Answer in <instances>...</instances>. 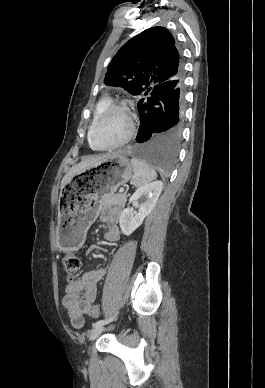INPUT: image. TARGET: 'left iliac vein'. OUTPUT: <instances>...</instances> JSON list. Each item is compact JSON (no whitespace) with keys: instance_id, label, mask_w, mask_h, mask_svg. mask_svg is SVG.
Returning <instances> with one entry per match:
<instances>
[{"instance_id":"1","label":"left iliac vein","mask_w":265,"mask_h":388,"mask_svg":"<svg viewBox=\"0 0 265 388\" xmlns=\"http://www.w3.org/2000/svg\"><path fill=\"white\" fill-rule=\"evenodd\" d=\"M103 330H104V325L95 327L89 335V340L94 341L103 332Z\"/></svg>"}]
</instances>
